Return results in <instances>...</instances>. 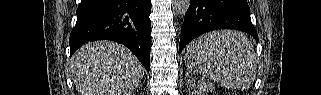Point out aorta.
Returning <instances> with one entry per match:
<instances>
[{
  "label": "aorta",
  "mask_w": 321,
  "mask_h": 95,
  "mask_svg": "<svg viewBox=\"0 0 321 95\" xmlns=\"http://www.w3.org/2000/svg\"><path fill=\"white\" fill-rule=\"evenodd\" d=\"M173 5L178 16L184 18L190 6V0H173Z\"/></svg>",
  "instance_id": "aorta-1"
}]
</instances>
